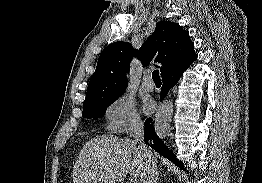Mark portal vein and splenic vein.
I'll return each mask as SVG.
<instances>
[{"mask_svg":"<svg viewBox=\"0 0 262 183\" xmlns=\"http://www.w3.org/2000/svg\"><path fill=\"white\" fill-rule=\"evenodd\" d=\"M130 183H138L137 178H132L131 181H130Z\"/></svg>","mask_w":262,"mask_h":183,"instance_id":"portal-vein-and-splenic-vein-1","label":"portal vein and splenic vein"}]
</instances>
